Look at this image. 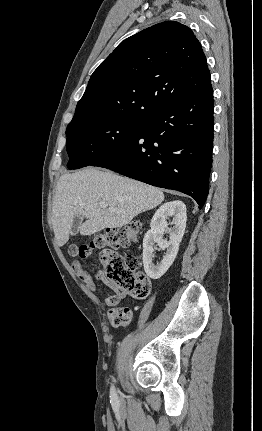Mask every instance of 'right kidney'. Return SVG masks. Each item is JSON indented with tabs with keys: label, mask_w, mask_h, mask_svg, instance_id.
Here are the masks:
<instances>
[{
	"label": "right kidney",
	"mask_w": 262,
	"mask_h": 431,
	"mask_svg": "<svg viewBox=\"0 0 262 431\" xmlns=\"http://www.w3.org/2000/svg\"><path fill=\"white\" fill-rule=\"evenodd\" d=\"M170 217H173L174 226L167 230V220ZM186 220V206L179 200L167 202L155 212L150 223L151 229L145 234L143 239L144 270L150 278H160L173 264L185 232ZM166 231H168L170 236L169 241L163 240V233ZM155 243L161 249H167L164 258L157 263L153 262Z\"/></svg>",
	"instance_id": "right-kidney-1"
}]
</instances>
